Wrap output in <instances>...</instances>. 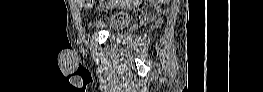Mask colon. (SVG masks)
<instances>
[{"instance_id": "5ec220e1", "label": "colon", "mask_w": 263, "mask_h": 92, "mask_svg": "<svg viewBox=\"0 0 263 92\" xmlns=\"http://www.w3.org/2000/svg\"><path fill=\"white\" fill-rule=\"evenodd\" d=\"M79 2L88 5L89 3L93 2V1L81 0V1H79ZM100 2H108V1H100ZM115 2H117V1H115Z\"/></svg>"}]
</instances>
